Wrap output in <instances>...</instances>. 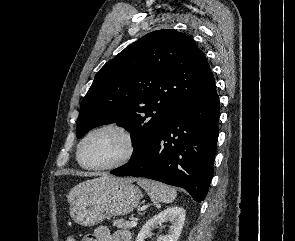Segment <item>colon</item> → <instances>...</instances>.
Segmentation results:
<instances>
[{"label": "colon", "instance_id": "obj_1", "mask_svg": "<svg viewBox=\"0 0 295 241\" xmlns=\"http://www.w3.org/2000/svg\"><path fill=\"white\" fill-rule=\"evenodd\" d=\"M67 241H75L74 239H72V238H69V239H67Z\"/></svg>", "mask_w": 295, "mask_h": 241}]
</instances>
